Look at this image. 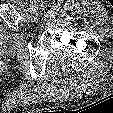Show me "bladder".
<instances>
[{
    "label": "bladder",
    "mask_w": 113,
    "mask_h": 113,
    "mask_svg": "<svg viewBox=\"0 0 113 113\" xmlns=\"http://www.w3.org/2000/svg\"><path fill=\"white\" fill-rule=\"evenodd\" d=\"M10 40V32L7 26L0 21V47L7 44Z\"/></svg>",
    "instance_id": "bladder-1"
}]
</instances>
